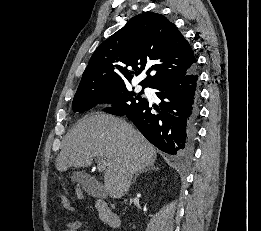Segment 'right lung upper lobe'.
<instances>
[{"mask_svg": "<svg viewBox=\"0 0 261 231\" xmlns=\"http://www.w3.org/2000/svg\"><path fill=\"white\" fill-rule=\"evenodd\" d=\"M150 66L139 84L153 87L181 77L196 67L187 40L165 16L145 13L133 17L93 53L75 96L126 86ZM154 70L156 74L150 76Z\"/></svg>", "mask_w": 261, "mask_h": 231, "instance_id": "obj_1", "label": "right lung upper lobe"}]
</instances>
